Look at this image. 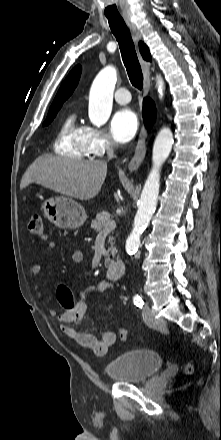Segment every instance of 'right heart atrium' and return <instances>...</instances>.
I'll return each instance as SVG.
<instances>
[{
	"label": "right heart atrium",
	"mask_w": 221,
	"mask_h": 440,
	"mask_svg": "<svg viewBox=\"0 0 221 440\" xmlns=\"http://www.w3.org/2000/svg\"><path fill=\"white\" fill-rule=\"evenodd\" d=\"M86 141L90 153L95 156H102L107 152H111L115 147L111 136L96 127H86Z\"/></svg>",
	"instance_id": "obj_1"
}]
</instances>
